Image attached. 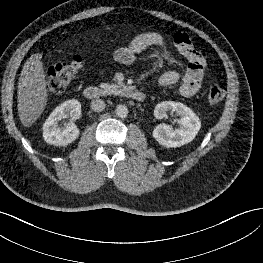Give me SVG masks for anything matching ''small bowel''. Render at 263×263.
<instances>
[{
    "label": "small bowel",
    "instance_id": "c3829d8e",
    "mask_svg": "<svg viewBox=\"0 0 263 263\" xmlns=\"http://www.w3.org/2000/svg\"><path fill=\"white\" fill-rule=\"evenodd\" d=\"M171 46L177 49L187 60L188 66L183 76L176 70L164 72L158 79L160 86H170L182 81L179 94L184 97L195 95L202 85V78L206 69V60L193 46L189 36L177 34L171 42L157 32H146L136 36L127 46L116 48L112 57L118 63L130 65L136 55L150 47Z\"/></svg>",
    "mask_w": 263,
    "mask_h": 263
}]
</instances>
